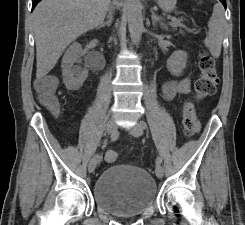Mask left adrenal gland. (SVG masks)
Here are the masks:
<instances>
[{
  "instance_id": "obj_1",
  "label": "left adrenal gland",
  "mask_w": 245,
  "mask_h": 225,
  "mask_svg": "<svg viewBox=\"0 0 245 225\" xmlns=\"http://www.w3.org/2000/svg\"><path fill=\"white\" fill-rule=\"evenodd\" d=\"M151 13H152L151 19H152V24H153V26H155L157 23H159L160 26H161L163 29H167V26H166V24L164 23V19H163L162 17H158V16L155 14V12H154L153 9H151Z\"/></svg>"
}]
</instances>
